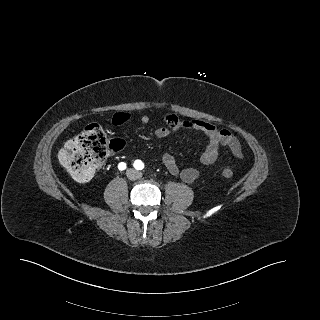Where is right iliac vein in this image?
<instances>
[{
	"mask_svg": "<svg viewBox=\"0 0 320 320\" xmlns=\"http://www.w3.org/2000/svg\"><path fill=\"white\" fill-rule=\"evenodd\" d=\"M128 175H129V176H132V172H128Z\"/></svg>",
	"mask_w": 320,
	"mask_h": 320,
	"instance_id": "63e3f726",
	"label": "right iliac vein"
}]
</instances>
